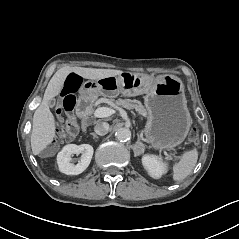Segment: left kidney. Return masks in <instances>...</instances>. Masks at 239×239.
Here are the masks:
<instances>
[{"instance_id":"obj_1","label":"left kidney","mask_w":239,"mask_h":239,"mask_svg":"<svg viewBox=\"0 0 239 239\" xmlns=\"http://www.w3.org/2000/svg\"><path fill=\"white\" fill-rule=\"evenodd\" d=\"M142 165L147 170L148 174L155 179L167 173L168 166L158 156L145 154L142 157Z\"/></svg>"}]
</instances>
